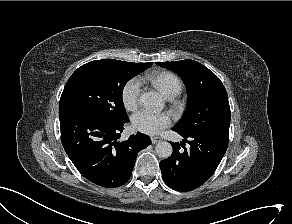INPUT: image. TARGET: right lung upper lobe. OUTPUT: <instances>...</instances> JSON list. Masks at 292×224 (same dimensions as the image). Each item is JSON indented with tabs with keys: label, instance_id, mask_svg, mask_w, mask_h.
I'll return each mask as SVG.
<instances>
[{
	"label": "right lung upper lobe",
	"instance_id": "cb5924a9",
	"mask_svg": "<svg viewBox=\"0 0 292 224\" xmlns=\"http://www.w3.org/2000/svg\"><path fill=\"white\" fill-rule=\"evenodd\" d=\"M138 64H141L143 66H146L147 68L150 67L152 65V63H138Z\"/></svg>",
	"mask_w": 292,
	"mask_h": 224
}]
</instances>
